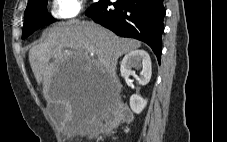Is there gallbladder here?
<instances>
[{
    "label": "gallbladder",
    "mask_w": 227,
    "mask_h": 142,
    "mask_svg": "<svg viewBox=\"0 0 227 142\" xmlns=\"http://www.w3.org/2000/svg\"><path fill=\"white\" fill-rule=\"evenodd\" d=\"M49 116L56 122L62 121L66 116V106L61 103H51L47 108Z\"/></svg>",
    "instance_id": "1"
}]
</instances>
